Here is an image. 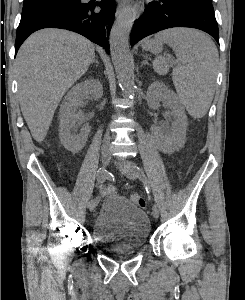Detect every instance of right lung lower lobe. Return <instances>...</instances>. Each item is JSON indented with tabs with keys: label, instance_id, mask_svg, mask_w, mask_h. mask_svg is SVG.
I'll list each match as a JSON object with an SVG mask.
<instances>
[{
	"label": "right lung lower lobe",
	"instance_id": "1",
	"mask_svg": "<svg viewBox=\"0 0 245 300\" xmlns=\"http://www.w3.org/2000/svg\"><path fill=\"white\" fill-rule=\"evenodd\" d=\"M115 10L113 0H83L79 4L65 5L21 18L17 28L15 54L31 33L49 27L77 32L102 46L109 54L108 36Z\"/></svg>",
	"mask_w": 245,
	"mask_h": 300
}]
</instances>
